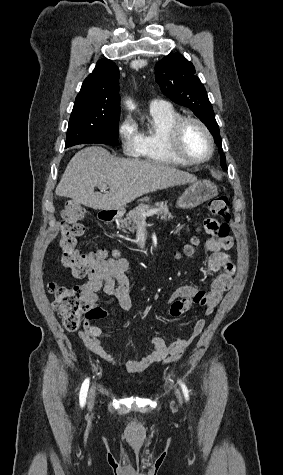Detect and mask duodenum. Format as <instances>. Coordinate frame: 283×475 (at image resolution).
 <instances>
[{"instance_id": "obj_1", "label": "duodenum", "mask_w": 283, "mask_h": 475, "mask_svg": "<svg viewBox=\"0 0 283 475\" xmlns=\"http://www.w3.org/2000/svg\"><path fill=\"white\" fill-rule=\"evenodd\" d=\"M114 216H115V213L113 211L107 210V211H103L100 214V219L102 221L109 222L113 220Z\"/></svg>"}]
</instances>
